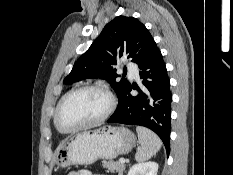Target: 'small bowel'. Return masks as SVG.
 Listing matches in <instances>:
<instances>
[{
  "label": "small bowel",
  "instance_id": "obj_1",
  "mask_svg": "<svg viewBox=\"0 0 233 175\" xmlns=\"http://www.w3.org/2000/svg\"><path fill=\"white\" fill-rule=\"evenodd\" d=\"M68 175H101V174H94L89 170L82 169V170L70 172Z\"/></svg>",
  "mask_w": 233,
  "mask_h": 175
}]
</instances>
